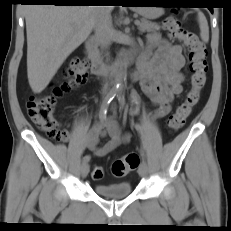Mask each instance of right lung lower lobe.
<instances>
[{"instance_id":"right-lung-lower-lobe-1","label":"right lung lower lobe","mask_w":231,"mask_h":231,"mask_svg":"<svg viewBox=\"0 0 231 231\" xmlns=\"http://www.w3.org/2000/svg\"><path fill=\"white\" fill-rule=\"evenodd\" d=\"M23 1L28 3H49L54 5H84V2H80L82 0H23Z\"/></svg>"}]
</instances>
